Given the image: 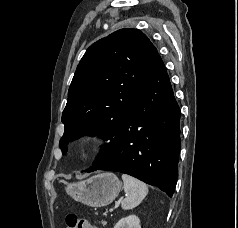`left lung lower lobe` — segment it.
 Masks as SVG:
<instances>
[{
    "label": "left lung lower lobe",
    "instance_id": "left-lung-lower-lobe-1",
    "mask_svg": "<svg viewBox=\"0 0 238 228\" xmlns=\"http://www.w3.org/2000/svg\"><path fill=\"white\" fill-rule=\"evenodd\" d=\"M179 121L180 109L158 55L130 113L121 124L113 156L87 172L125 173L172 196L181 144Z\"/></svg>",
    "mask_w": 238,
    "mask_h": 228
}]
</instances>
